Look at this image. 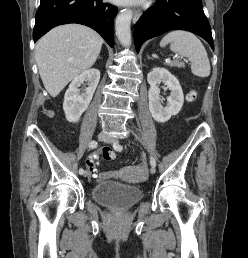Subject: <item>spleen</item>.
Here are the masks:
<instances>
[{
  "instance_id": "obj_1",
  "label": "spleen",
  "mask_w": 248,
  "mask_h": 258,
  "mask_svg": "<svg viewBox=\"0 0 248 258\" xmlns=\"http://www.w3.org/2000/svg\"><path fill=\"white\" fill-rule=\"evenodd\" d=\"M170 44L171 51L187 57L191 61V71L195 76L208 77L211 67L207 52L196 35L183 30L166 34L160 42L161 47Z\"/></svg>"
}]
</instances>
